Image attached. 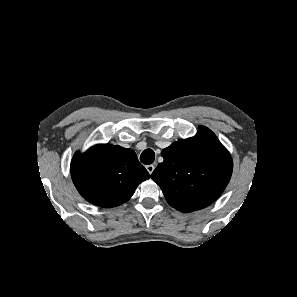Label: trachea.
<instances>
[{
    "label": "trachea",
    "instance_id": "3493384b",
    "mask_svg": "<svg viewBox=\"0 0 297 297\" xmlns=\"http://www.w3.org/2000/svg\"><path fill=\"white\" fill-rule=\"evenodd\" d=\"M155 160V152L152 149L144 150L140 155V161L145 165H150Z\"/></svg>",
    "mask_w": 297,
    "mask_h": 297
}]
</instances>
